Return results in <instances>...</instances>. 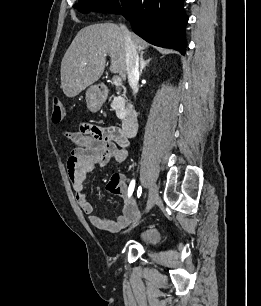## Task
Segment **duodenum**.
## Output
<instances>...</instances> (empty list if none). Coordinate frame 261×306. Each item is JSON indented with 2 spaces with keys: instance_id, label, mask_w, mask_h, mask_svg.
<instances>
[{
  "instance_id": "410a0bca",
  "label": "duodenum",
  "mask_w": 261,
  "mask_h": 306,
  "mask_svg": "<svg viewBox=\"0 0 261 306\" xmlns=\"http://www.w3.org/2000/svg\"><path fill=\"white\" fill-rule=\"evenodd\" d=\"M98 94L101 97H106L108 89L105 85H100L98 88ZM138 129V113L134 108L127 109L123 120L121 130L125 137L133 136Z\"/></svg>"
}]
</instances>
